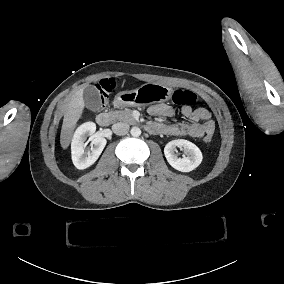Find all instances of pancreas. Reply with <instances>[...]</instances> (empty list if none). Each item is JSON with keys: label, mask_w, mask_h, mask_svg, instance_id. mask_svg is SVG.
Wrapping results in <instances>:
<instances>
[{"label": "pancreas", "mask_w": 284, "mask_h": 284, "mask_svg": "<svg viewBox=\"0 0 284 284\" xmlns=\"http://www.w3.org/2000/svg\"><path fill=\"white\" fill-rule=\"evenodd\" d=\"M109 113L114 117L115 120L122 121L130 125L137 124V121L132 115V110L130 109L110 111Z\"/></svg>", "instance_id": "cf45deb5"}]
</instances>
